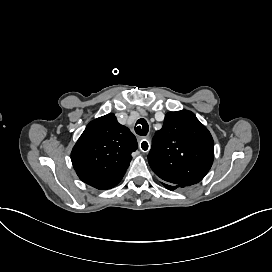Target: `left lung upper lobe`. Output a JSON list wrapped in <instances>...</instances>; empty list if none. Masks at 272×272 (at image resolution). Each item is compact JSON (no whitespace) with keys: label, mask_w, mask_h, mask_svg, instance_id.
<instances>
[{"label":"left lung upper lobe","mask_w":272,"mask_h":272,"mask_svg":"<svg viewBox=\"0 0 272 272\" xmlns=\"http://www.w3.org/2000/svg\"><path fill=\"white\" fill-rule=\"evenodd\" d=\"M213 158L210 132L188 110L165 115L148 154L153 172L163 182L180 188L200 182L210 170Z\"/></svg>","instance_id":"5c2ea615"}]
</instances>
